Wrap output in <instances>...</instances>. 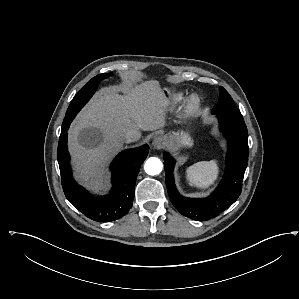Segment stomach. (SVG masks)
I'll return each mask as SVG.
<instances>
[{"instance_id":"stomach-1","label":"stomach","mask_w":299,"mask_h":299,"mask_svg":"<svg viewBox=\"0 0 299 299\" xmlns=\"http://www.w3.org/2000/svg\"><path fill=\"white\" fill-rule=\"evenodd\" d=\"M163 93L168 100L171 96V91L168 88L162 89ZM167 145L170 149L176 150L181 147H191L193 145V141L188 133H172L167 136Z\"/></svg>"}]
</instances>
